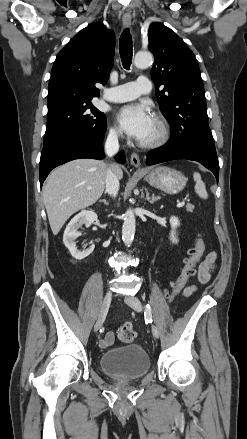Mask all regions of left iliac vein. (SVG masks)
Here are the masks:
<instances>
[{"label":"left iliac vein","instance_id":"obj_1","mask_svg":"<svg viewBox=\"0 0 247 439\" xmlns=\"http://www.w3.org/2000/svg\"><path fill=\"white\" fill-rule=\"evenodd\" d=\"M124 301L135 311L141 312L143 310L141 301L135 296H128ZM152 334L155 338H159V331L155 325L151 326Z\"/></svg>","mask_w":247,"mask_h":439}]
</instances>
